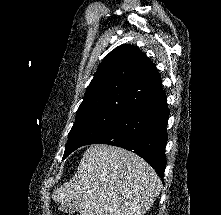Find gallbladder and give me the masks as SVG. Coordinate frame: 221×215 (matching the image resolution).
Instances as JSON below:
<instances>
[{
    "instance_id": "obj_1",
    "label": "gallbladder",
    "mask_w": 221,
    "mask_h": 215,
    "mask_svg": "<svg viewBox=\"0 0 221 215\" xmlns=\"http://www.w3.org/2000/svg\"><path fill=\"white\" fill-rule=\"evenodd\" d=\"M59 210L67 213L68 215L73 214L77 211V206L74 202H67L60 205Z\"/></svg>"
}]
</instances>
